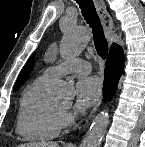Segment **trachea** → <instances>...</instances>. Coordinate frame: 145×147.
<instances>
[{"label":"trachea","instance_id":"3493384b","mask_svg":"<svg viewBox=\"0 0 145 147\" xmlns=\"http://www.w3.org/2000/svg\"><path fill=\"white\" fill-rule=\"evenodd\" d=\"M77 3L81 8L84 19L92 28L96 51L102 59H105L108 55V43L104 36L103 28L97 15L93 1L77 0Z\"/></svg>","mask_w":145,"mask_h":147}]
</instances>
